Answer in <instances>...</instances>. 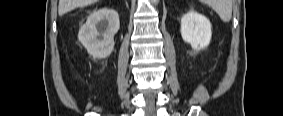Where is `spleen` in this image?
<instances>
[{"instance_id": "spleen-1", "label": "spleen", "mask_w": 283, "mask_h": 116, "mask_svg": "<svg viewBox=\"0 0 283 116\" xmlns=\"http://www.w3.org/2000/svg\"><path fill=\"white\" fill-rule=\"evenodd\" d=\"M205 4L210 6L220 17L227 23L232 18V1L231 0H205Z\"/></svg>"}]
</instances>
